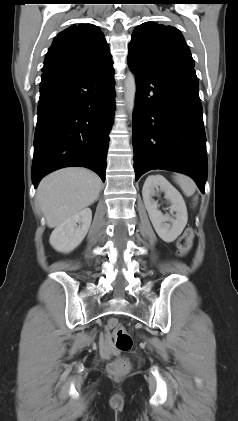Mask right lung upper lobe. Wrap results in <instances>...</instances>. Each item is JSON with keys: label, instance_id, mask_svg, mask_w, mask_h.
I'll return each mask as SVG.
<instances>
[{"label": "right lung upper lobe", "instance_id": "1", "mask_svg": "<svg viewBox=\"0 0 238 421\" xmlns=\"http://www.w3.org/2000/svg\"><path fill=\"white\" fill-rule=\"evenodd\" d=\"M109 65H112V56L100 28L80 24L57 35L46 54L42 70Z\"/></svg>", "mask_w": 238, "mask_h": 421}]
</instances>
